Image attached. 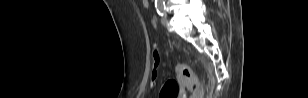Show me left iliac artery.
Returning a JSON list of instances; mask_svg holds the SVG:
<instances>
[{
  "mask_svg": "<svg viewBox=\"0 0 308 98\" xmlns=\"http://www.w3.org/2000/svg\"><path fill=\"white\" fill-rule=\"evenodd\" d=\"M155 7H156V10H157V13L163 17L165 16V11H166V8H165V3L164 2H158L155 4Z\"/></svg>",
  "mask_w": 308,
  "mask_h": 98,
  "instance_id": "44dca946",
  "label": "left iliac artery"
}]
</instances>
